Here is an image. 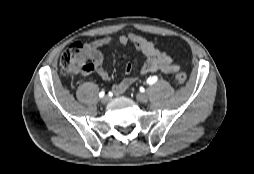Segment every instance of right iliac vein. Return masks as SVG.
Returning a JSON list of instances; mask_svg holds the SVG:
<instances>
[{"label":"right iliac vein","instance_id":"1","mask_svg":"<svg viewBox=\"0 0 254 174\" xmlns=\"http://www.w3.org/2000/svg\"><path fill=\"white\" fill-rule=\"evenodd\" d=\"M110 98L108 96H104L102 99H101V102L102 104H107L109 102Z\"/></svg>","mask_w":254,"mask_h":174}]
</instances>
